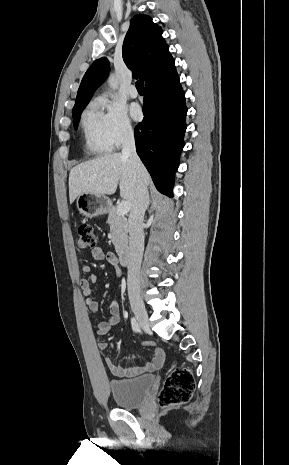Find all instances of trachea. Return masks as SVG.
Instances as JSON below:
<instances>
[{
  "label": "trachea",
  "mask_w": 289,
  "mask_h": 465,
  "mask_svg": "<svg viewBox=\"0 0 289 465\" xmlns=\"http://www.w3.org/2000/svg\"><path fill=\"white\" fill-rule=\"evenodd\" d=\"M136 88L138 91H144V82L143 80H138L136 82Z\"/></svg>",
  "instance_id": "obj_1"
}]
</instances>
